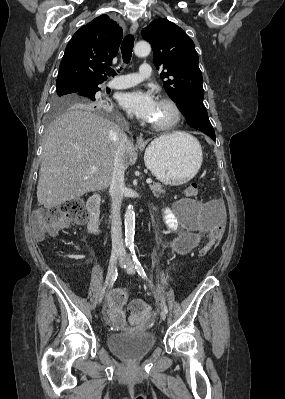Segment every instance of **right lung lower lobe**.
<instances>
[{
    "label": "right lung lower lobe",
    "instance_id": "right-lung-lower-lobe-1",
    "mask_svg": "<svg viewBox=\"0 0 285 399\" xmlns=\"http://www.w3.org/2000/svg\"><path fill=\"white\" fill-rule=\"evenodd\" d=\"M93 89H96V92L99 91L98 84L97 85H90L88 88H86L87 91H91Z\"/></svg>",
    "mask_w": 285,
    "mask_h": 399
}]
</instances>
